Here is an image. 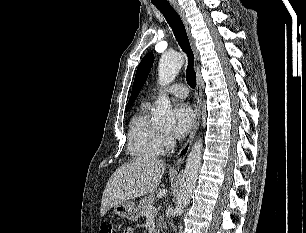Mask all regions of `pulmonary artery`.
Listing matches in <instances>:
<instances>
[{
  "label": "pulmonary artery",
  "mask_w": 306,
  "mask_h": 233,
  "mask_svg": "<svg viewBox=\"0 0 306 233\" xmlns=\"http://www.w3.org/2000/svg\"><path fill=\"white\" fill-rule=\"evenodd\" d=\"M167 94L173 95L177 98H185L188 95V89L184 84H175L165 90ZM155 96L152 97L154 99Z\"/></svg>",
  "instance_id": "obj_1"
}]
</instances>
